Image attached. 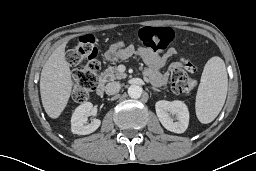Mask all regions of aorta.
Wrapping results in <instances>:
<instances>
[{
    "label": "aorta",
    "instance_id": "762f6f07",
    "mask_svg": "<svg viewBox=\"0 0 256 171\" xmlns=\"http://www.w3.org/2000/svg\"><path fill=\"white\" fill-rule=\"evenodd\" d=\"M142 88L138 85H131L128 88V95L133 99H138L141 97Z\"/></svg>",
    "mask_w": 256,
    "mask_h": 171
}]
</instances>
